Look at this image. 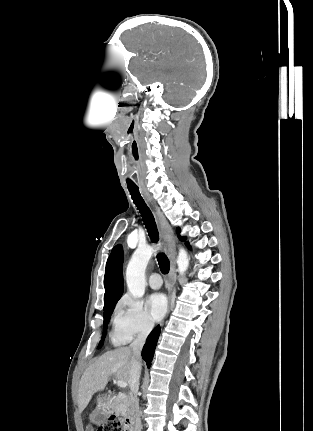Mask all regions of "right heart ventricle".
<instances>
[{
  "instance_id": "obj_1",
  "label": "right heart ventricle",
  "mask_w": 313,
  "mask_h": 431,
  "mask_svg": "<svg viewBox=\"0 0 313 431\" xmlns=\"http://www.w3.org/2000/svg\"><path fill=\"white\" fill-rule=\"evenodd\" d=\"M112 338H113V341L116 343H124V342L128 341V338L126 336L116 332L115 330H114V333L112 335Z\"/></svg>"
}]
</instances>
